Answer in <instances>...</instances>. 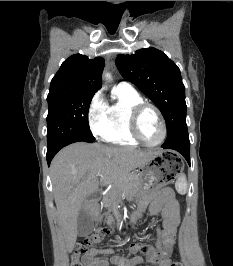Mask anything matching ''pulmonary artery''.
I'll return each instance as SVG.
<instances>
[{
    "instance_id": "pulmonary-artery-1",
    "label": "pulmonary artery",
    "mask_w": 233,
    "mask_h": 266,
    "mask_svg": "<svg viewBox=\"0 0 233 266\" xmlns=\"http://www.w3.org/2000/svg\"><path fill=\"white\" fill-rule=\"evenodd\" d=\"M118 86L125 87V88H130V89H134V88L132 87V85H131L129 82H127V81H122V82H120V83L118 84Z\"/></svg>"
}]
</instances>
